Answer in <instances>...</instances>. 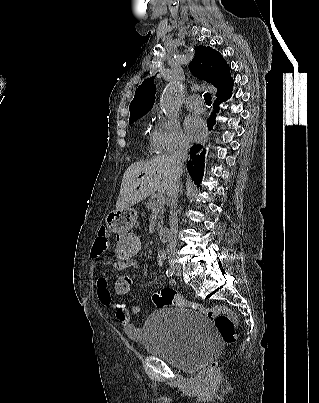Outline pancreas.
Returning <instances> with one entry per match:
<instances>
[{
	"mask_svg": "<svg viewBox=\"0 0 319 403\" xmlns=\"http://www.w3.org/2000/svg\"><path fill=\"white\" fill-rule=\"evenodd\" d=\"M164 205H165L164 201L161 204H159V199L157 200L150 199L146 204L148 210H152L153 212L158 214L157 229H160L164 223V216H163Z\"/></svg>",
	"mask_w": 319,
	"mask_h": 403,
	"instance_id": "1",
	"label": "pancreas"
}]
</instances>
